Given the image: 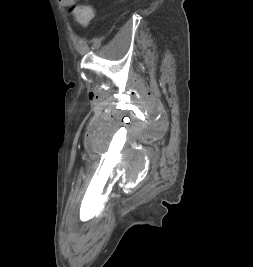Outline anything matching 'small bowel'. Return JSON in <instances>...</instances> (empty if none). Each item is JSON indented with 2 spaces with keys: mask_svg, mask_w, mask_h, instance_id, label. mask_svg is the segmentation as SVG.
I'll return each instance as SVG.
<instances>
[{
  "mask_svg": "<svg viewBox=\"0 0 253 267\" xmlns=\"http://www.w3.org/2000/svg\"><path fill=\"white\" fill-rule=\"evenodd\" d=\"M59 2L64 8H72L76 5L77 0H59Z\"/></svg>",
  "mask_w": 253,
  "mask_h": 267,
  "instance_id": "1",
  "label": "small bowel"
}]
</instances>
